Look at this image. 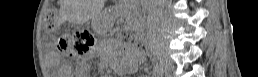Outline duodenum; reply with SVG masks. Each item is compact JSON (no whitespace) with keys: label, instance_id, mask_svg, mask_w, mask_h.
Masks as SVG:
<instances>
[{"label":"duodenum","instance_id":"410a0bca","mask_svg":"<svg viewBox=\"0 0 258 77\" xmlns=\"http://www.w3.org/2000/svg\"><path fill=\"white\" fill-rule=\"evenodd\" d=\"M144 43L148 45L149 50H152L150 40L148 38L145 39Z\"/></svg>","mask_w":258,"mask_h":77}]
</instances>
